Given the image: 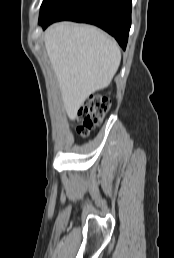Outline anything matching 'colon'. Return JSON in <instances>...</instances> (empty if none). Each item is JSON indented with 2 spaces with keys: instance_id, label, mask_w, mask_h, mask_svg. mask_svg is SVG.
Listing matches in <instances>:
<instances>
[{
  "instance_id": "obj_1",
  "label": "colon",
  "mask_w": 174,
  "mask_h": 258,
  "mask_svg": "<svg viewBox=\"0 0 174 258\" xmlns=\"http://www.w3.org/2000/svg\"><path fill=\"white\" fill-rule=\"evenodd\" d=\"M110 100L102 96L88 97L77 110L75 119L78 122L76 132L87 136L91 129L100 124L110 108Z\"/></svg>"
}]
</instances>
